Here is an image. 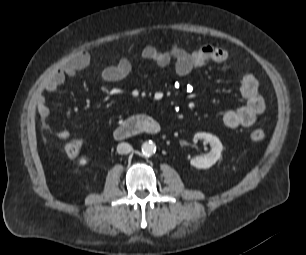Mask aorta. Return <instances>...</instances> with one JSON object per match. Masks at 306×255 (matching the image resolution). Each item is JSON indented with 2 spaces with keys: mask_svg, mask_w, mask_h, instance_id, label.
<instances>
[{
  "mask_svg": "<svg viewBox=\"0 0 306 255\" xmlns=\"http://www.w3.org/2000/svg\"><path fill=\"white\" fill-rule=\"evenodd\" d=\"M141 151L145 156H152L156 152V145L153 141L144 142Z\"/></svg>",
  "mask_w": 306,
  "mask_h": 255,
  "instance_id": "aorta-1",
  "label": "aorta"
}]
</instances>
